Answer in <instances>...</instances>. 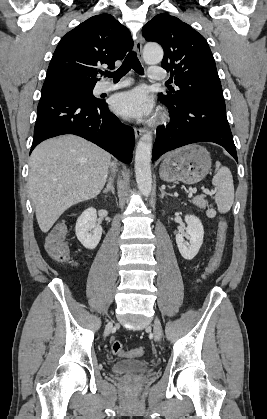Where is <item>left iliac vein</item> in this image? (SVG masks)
Masks as SVG:
<instances>
[{
  "label": "left iliac vein",
  "mask_w": 267,
  "mask_h": 419,
  "mask_svg": "<svg viewBox=\"0 0 267 419\" xmlns=\"http://www.w3.org/2000/svg\"><path fill=\"white\" fill-rule=\"evenodd\" d=\"M153 333L156 341H159L162 336V326L158 318H155L153 324Z\"/></svg>",
  "instance_id": "1"
}]
</instances>
